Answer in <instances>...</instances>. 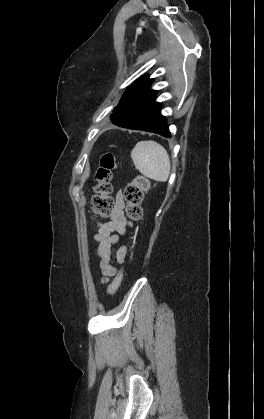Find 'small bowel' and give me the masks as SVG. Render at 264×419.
I'll return each instance as SVG.
<instances>
[{"mask_svg": "<svg viewBox=\"0 0 264 419\" xmlns=\"http://www.w3.org/2000/svg\"><path fill=\"white\" fill-rule=\"evenodd\" d=\"M125 202L122 192H118L115 198L113 211L110 214V220L99 228L94 236L97 243V256L99 258V270L103 275V282L109 281L117 273V264H123L126 260L127 248L121 246L112 258V248L116 245L120 236L130 226V222L124 214Z\"/></svg>", "mask_w": 264, "mask_h": 419, "instance_id": "c3829d8e", "label": "small bowel"}]
</instances>
